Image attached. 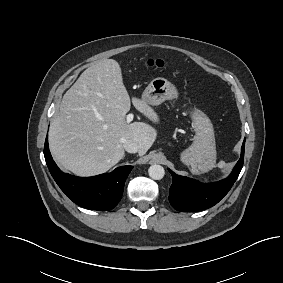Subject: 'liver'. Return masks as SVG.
<instances>
[{"label": "liver", "instance_id": "liver-1", "mask_svg": "<svg viewBox=\"0 0 283 283\" xmlns=\"http://www.w3.org/2000/svg\"><path fill=\"white\" fill-rule=\"evenodd\" d=\"M133 106L153 123L158 114L142 99ZM131 100L119 63L106 59L87 68L64 94L49 130L50 151L56 162L78 176L108 171L124 157L123 140L131 139L143 156L157 131L144 122L127 123Z\"/></svg>", "mask_w": 283, "mask_h": 283}]
</instances>
